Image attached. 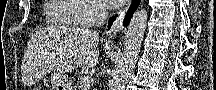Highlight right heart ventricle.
Masks as SVG:
<instances>
[{
  "label": "right heart ventricle",
  "mask_w": 216,
  "mask_h": 90,
  "mask_svg": "<svg viewBox=\"0 0 216 90\" xmlns=\"http://www.w3.org/2000/svg\"><path fill=\"white\" fill-rule=\"evenodd\" d=\"M48 6L44 7L43 14L47 17V28H86L81 19L75 20V16H80L86 11L82 4H75L70 0H49Z\"/></svg>",
  "instance_id": "e07e8e85"
}]
</instances>
